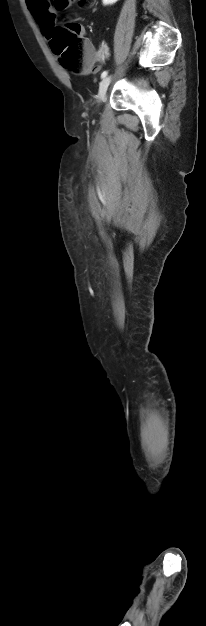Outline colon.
<instances>
[{
	"label": "colon",
	"mask_w": 206,
	"mask_h": 626,
	"mask_svg": "<svg viewBox=\"0 0 206 626\" xmlns=\"http://www.w3.org/2000/svg\"><path fill=\"white\" fill-rule=\"evenodd\" d=\"M80 6H91L94 0H49L48 6L56 10L67 9L72 3ZM79 25L67 23L57 27L53 33V49L59 54L66 67L73 72L82 69L84 65V45L79 36Z\"/></svg>",
	"instance_id": "1"
}]
</instances>
